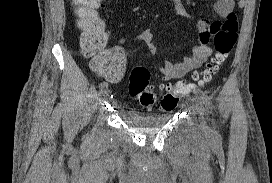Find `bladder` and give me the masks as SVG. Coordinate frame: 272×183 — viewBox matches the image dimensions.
I'll list each match as a JSON object with an SVG mask.
<instances>
[{"instance_id":"bladder-1","label":"bladder","mask_w":272,"mask_h":183,"mask_svg":"<svg viewBox=\"0 0 272 183\" xmlns=\"http://www.w3.org/2000/svg\"><path fill=\"white\" fill-rule=\"evenodd\" d=\"M121 116L124 122H126L129 126L142 130H154L162 128L171 119L170 114L139 115L134 112H123Z\"/></svg>"}]
</instances>
